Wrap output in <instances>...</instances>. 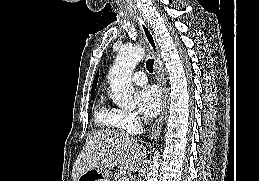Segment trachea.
I'll list each match as a JSON object with an SVG mask.
<instances>
[{"mask_svg": "<svg viewBox=\"0 0 259 181\" xmlns=\"http://www.w3.org/2000/svg\"><path fill=\"white\" fill-rule=\"evenodd\" d=\"M146 67H147V70L150 73H153V71H154V59H148L147 62H146Z\"/></svg>", "mask_w": 259, "mask_h": 181, "instance_id": "obj_1", "label": "trachea"}]
</instances>
